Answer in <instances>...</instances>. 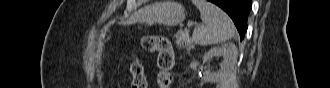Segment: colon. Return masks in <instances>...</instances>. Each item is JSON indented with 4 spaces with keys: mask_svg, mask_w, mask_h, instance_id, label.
Returning a JSON list of instances; mask_svg holds the SVG:
<instances>
[{
    "mask_svg": "<svg viewBox=\"0 0 330 88\" xmlns=\"http://www.w3.org/2000/svg\"><path fill=\"white\" fill-rule=\"evenodd\" d=\"M141 46L148 52L157 53L160 69L158 83L161 88H168L172 82L171 71L174 67V51L170 40L163 36L147 35L141 39ZM130 71L133 77L132 88H146L144 68L138 59H134Z\"/></svg>",
    "mask_w": 330,
    "mask_h": 88,
    "instance_id": "1",
    "label": "colon"
}]
</instances>
